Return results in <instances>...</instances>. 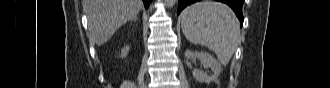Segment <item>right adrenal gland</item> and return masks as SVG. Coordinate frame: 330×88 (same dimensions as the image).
<instances>
[{
  "label": "right adrenal gland",
  "instance_id": "1",
  "mask_svg": "<svg viewBox=\"0 0 330 88\" xmlns=\"http://www.w3.org/2000/svg\"><path fill=\"white\" fill-rule=\"evenodd\" d=\"M133 20H134V21H137V20H138V17H135Z\"/></svg>",
  "mask_w": 330,
  "mask_h": 88
}]
</instances>
